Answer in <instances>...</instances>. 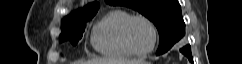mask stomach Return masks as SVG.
Returning a JSON list of instances; mask_svg holds the SVG:
<instances>
[{
	"instance_id": "stomach-1",
	"label": "stomach",
	"mask_w": 242,
	"mask_h": 64,
	"mask_svg": "<svg viewBox=\"0 0 242 64\" xmlns=\"http://www.w3.org/2000/svg\"><path fill=\"white\" fill-rule=\"evenodd\" d=\"M138 64H149V63L142 61L141 63H138Z\"/></svg>"
}]
</instances>
